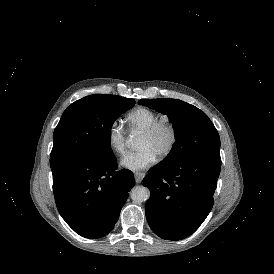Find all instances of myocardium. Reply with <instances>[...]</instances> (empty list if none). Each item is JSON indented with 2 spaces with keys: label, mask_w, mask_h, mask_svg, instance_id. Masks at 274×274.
<instances>
[{
  "label": "myocardium",
  "mask_w": 274,
  "mask_h": 274,
  "mask_svg": "<svg viewBox=\"0 0 274 274\" xmlns=\"http://www.w3.org/2000/svg\"><path fill=\"white\" fill-rule=\"evenodd\" d=\"M161 130H165L169 134V144L167 148L157 157L159 160H163L170 156L175 149L177 143V131L175 126L169 121L161 120L141 132V135L145 137H153Z\"/></svg>",
  "instance_id": "f54148a6"
}]
</instances>
